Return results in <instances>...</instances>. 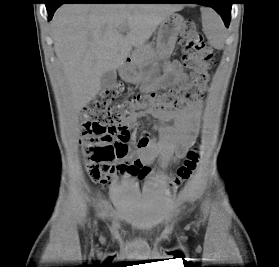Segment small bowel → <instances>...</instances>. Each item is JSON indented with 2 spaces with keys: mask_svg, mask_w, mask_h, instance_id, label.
Here are the masks:
<instances>
[{
  "mask_svg": "<svg viewBox=\"0 0 279 267\" xmlns=\"http://www.w3.org/2000/svg\"><path fill=\"white\" fill-rule=\"evenodd\" d=\"M186 79L187 74L182 70L180 62L175 60L166 65L164 76L157 85H176ZM148 115L158 121V126L155 128L156 137L143 136L133 149L132 155L141 164L142 170L132 174L139 178L146 177L150 173L149 166L156 161L168 167L184 156L199 133L202 103L198 101L177 110H144L134 113L127 120L129 129L135 126L139 118ZM112 176L103 179L101 184H110Z\"/></svg>",
  "mask_w": 279,
  "mask_h": 267,
  "instance_id": "1",
  "label": "small bowel"
}]
</instances>
